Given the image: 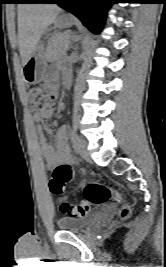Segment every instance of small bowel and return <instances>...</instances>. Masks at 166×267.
I'll use <instances>...</instances> for the list:
<instances>
[{
    "mask_svg": "<svg viewBox=\"0 0 166 267\" xmlns=\"http://www.w3.org/2000/svg\"><path fill=\"white\" fill-rule=\"evenodd\" d=\"M67 72L68 70L65 69V73ZM46 85L51 92L55 94L56 84L54 80L47 82ZM52 114L53 110L50 108L33 115V120L36 124L37 132L39 133V144L42 156L50 169H54L57 166H67L71 168L73 158L68 145L67 127L65 125L57 129H46L44 127V120L50 118ZM44 133L54 138L55 146L46 139Z\"/></svg>",
    "mask_w": 166,
    "mask_h": 267,
    "instance_id": "c3829d8e",
    "label": "small bowel"
}]
</instances>
